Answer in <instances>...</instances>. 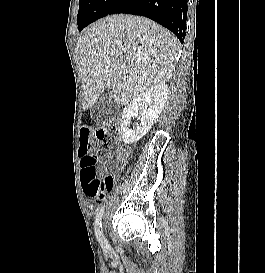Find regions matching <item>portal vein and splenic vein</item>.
Returning a JSON list of instances; mask_svg holds the SVG:
<instances>
[{
	"label": "portal vein and splenic vein",
	"instance_id": "1",
	"mask_svg": "<svg viewBox=\"0 0 265 273\" xmlns=\"http://www.w3.org/2000/svg\"><path fill=\"white\" fill-rule=\"evenodd\" d=\"M121 69H122V71H123V72L127 71V69H126V67H125V66H122V68H121Z\"/></svg>",
	"mask_w": 265,
	"mask_h": 273
}]
</instances>
